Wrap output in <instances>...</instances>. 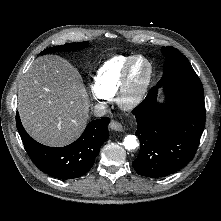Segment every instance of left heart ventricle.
Returning <instances> with one entry per match:
<instances>
[{
	"instance_id": "1",
	"label": "left heart ventricle",
	"mask_w": 221,
	"mask_h": 221,
	"mask_svg": "<svg viewBox=\"0 0 221 221\" xmlns=\"http://www.w3.org/2000/svg\"><path fill=\"white\" fill-rule=\"evenodd\" d=\"M148 73V66L143 60H137L131 70L130 90L135 93L139 90Z\"/></svg>"
}]
</instances>
